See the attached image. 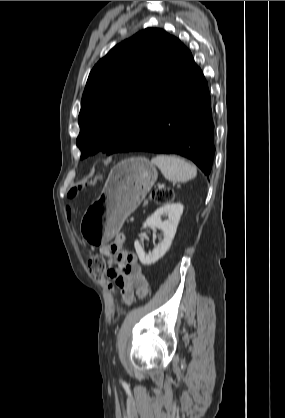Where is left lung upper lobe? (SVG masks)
Listing matches in <instances>:
<instances>
[{
  "mask_svg": "<svg viewBox=\"0 0 285 418\" xmlns=\"http://www.w3.org/2000/svg\"><path fill=\"white\" fill-rule=\"evenodd\" d=\"M185 46L164 30L146 28L117 44L88 77L78 117L81 159L124 152L139 135L180 63Z\"/></svg>",
  "mask_w": 285,
  "mask_h": 418,
  "instance_id": "5c2ea615",
  "label": "left lung upper lobe"
}]
</instances>
